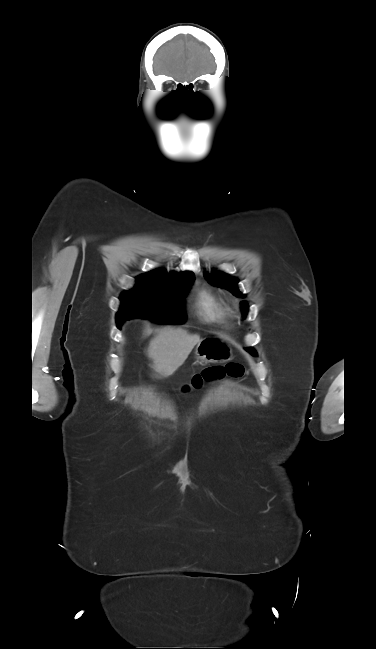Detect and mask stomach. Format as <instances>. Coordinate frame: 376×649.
Wrapping results in <instances>:
<instances>
[{"label":"stomach","instance_id":"obj_1","mask_svg":"<svg viewBox=\"0 0 376 649\" xmlns=\"http://www.w3.org/2000/svg\"><path fill=\"white\" fill-rule=\"evenodd\" d=\"M197 360L201 362L226 363L232 360V350L223 339L206 337L200 340L195 349Z\"/></svg>","mask_w":376,"mask_h":649}]
</instances>
